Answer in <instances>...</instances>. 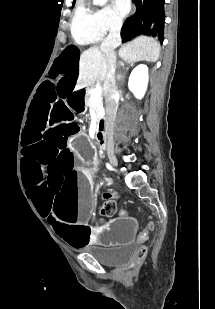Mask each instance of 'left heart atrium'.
<instances>
[{
	"instance_id": "left-heart-atrium-1",
	"label": "left heart atrium",
	"mask_w": 215,
	"mask_h": 309,
	"mask_svg": "<svg viewBox=\"0 0 215 309\" xmlns=\"http://www.w3.org/2000/svg\"><path fill=\"white\" fill-rule=\"evenodd\" d=\"M116 7H120L121 12L127 11L128 1L127 0H113Z\"/></svg>"
}]
</instances>
